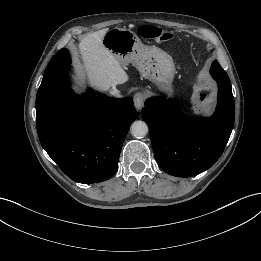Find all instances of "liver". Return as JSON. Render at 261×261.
I'll use <instances>...</instances> for the list:
<instances>
[{
	"mask_svg": "<svg viewBox=\"0 0 261 261\" xmlns=\"http://www.w3.org/2000/svg\"><path fill=\"white\" fill-rule=\"evenodd\" d=\"M108 30L102 29L85 36L79 43L83 64L77 66L80 78L87 76L91 85L101 91L123 84L129 77L114 55L105 48L102 39Z\"/></svg>",
	"mask_w": 261,
	"mask_h": 261,
	"instance_id": "liver-1",
	"label": "liver"
}]
</instances>
